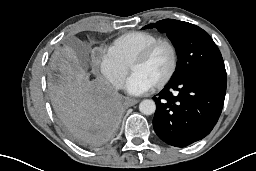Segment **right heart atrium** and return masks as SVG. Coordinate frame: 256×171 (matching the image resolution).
<instances>
[{"label": "right heart atrium", "mask_w": 256, "mask_h": 171, "mask_svg": "<svg viewBox=\"0 0 256 171\" xmlns=\"http://www.w3.org/2000/svg\"><path fill=\"white\" fill-rule=\"evenodd\" d=\"M91 63L94 69L117 90L122 87L128 68L108 51H98L92 54Z\"/></svg>", "instance_id": "1"}]
</instances>
